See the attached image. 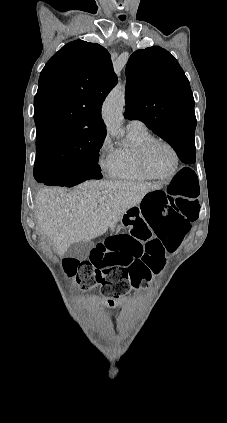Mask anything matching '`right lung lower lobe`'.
Listing matches in <instances>:
<instances>
[{
	"instance_id": "98d812e1",
	"label": "right lung lower lobe",
	"mask_w": 227,
	"mask_h": 423,
	"mask_svg": "<svg viewBox=\"0 0 227 423\" xmlns=\"http://www.w3.org/2000/svg\"><path fill=\"white\" fill-rule=\"evenodd\" d=\"M34 177L37 182L48 186L72 187L85 181L79 176L60 168L58 163L46 160L35 161Z\"/></svg>"
}]
</instances>
